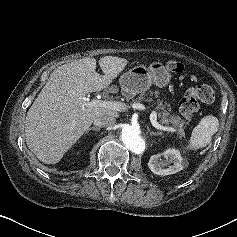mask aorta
Returning a JSON list of instances; mask_svg holds the SVG:
<instances>
[{
  "label": "aorta",
  "mask_w": 237,
  "mask_h": 237,
  "mask_svg": "<svg viewBox=\"0 0 237 237\" xmlns=\"http://www.w3.org/2000/svg\"><path fill=\"white\" fill-rule=\"evenodd\" d=\"M121 139L125 146L134 153H141L144 150L145 142L138 126L126 125L122 128Z\"/></svg>",
  "instance_id": "1"
}]
</instances>
